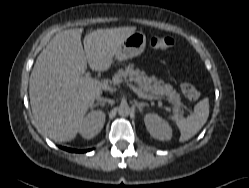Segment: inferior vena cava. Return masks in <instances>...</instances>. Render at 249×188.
Instances as JSON below:
<instances>
[{
    "label": "inferior vena cava",
    "instance_id": "inferior-vena-cava-1",
    "mask_svg": "<svg viewBox=\"0 0 249 188\" xmlns=\"http://www.w3.org/2000/svg\"><path fill=\"white\" fill-rule=\"evenodd\" d=\"M97 100L100 101V102L105 101V102L112 103V101L107 99V98L97 97Z\"/></svg>",
    "mask_w": 249,
    "mask_h": 188
}]
</instances>
